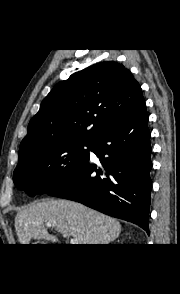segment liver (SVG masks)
<instances>
[{
  "instance_id": "obj_1",
  "label": "liver",
  "mask_w": 180,
  "mask_h": 294,
  "mask_svg": "<svg viewBox=\"0 0 180 294\" xmlns=\"http://www.w3.org/2000/svg\"><path fill=\"white\" fill-rule=\"evenodd\" d=\"M46 223H52L64 236L77 238L79 244H109L121 233L116 219L73 201L49 200L30 204L17 213L15 229L20 244H29L31 239L57 242Z\"/></svg>"
}]
</instances>
